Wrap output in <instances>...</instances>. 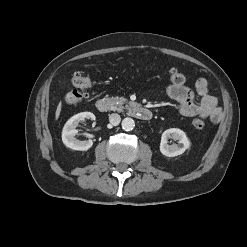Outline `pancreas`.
Listing matches in <instances>:
<instances>
[{"instance_id": "pancreas-1", "label": "pancreas", "mask_w": 247, "mask_h": 247, "mask_svg": "<svg viewBox=\"0 0 247 247\" xmlns=\"http://www.w3.org/2000/svg\"><path fill=\"white\" fill-rule=\"evenodd\" d=\"M110 102L113 107L112 110L122 112L124 109L123 104L126 102V99L123 97L116 96V97H111ZM129 104H131V102Z\"/></svg>"}]
</instances>
